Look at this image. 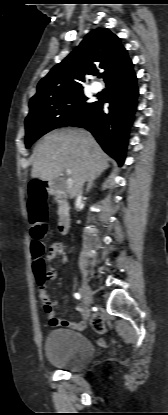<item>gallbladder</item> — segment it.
<instances>
[{"mask_svg":"<svg viewBox=\"0 0 168 415\" xmlns=\"http://www.w3.org/2000/svg\"><path fill=\"white\" fill-rule=\"evenodd\" d=\"M53 188H61L64 184V181L61 178H55L51 182Z\"/></svg>","mask_w":168,"mask_h":415,"instance_id":"obj_1","label":"gallbladder"}]
</instances>
